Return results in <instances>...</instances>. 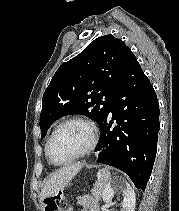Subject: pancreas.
I'll return each mask as SVG.
<instances>
[{
	"mask_svg": "<svg viewBox=\"0 0 179 211\" xmlns=\"http://www.w3.org/2000/svg\"><path fill=\"white\" fill-rule=\"evenodd\" d=\"M105 183H106V181L104 179H98L95 182V184L93 185L91 193L95 200H97V201L100 200L102 193H103Z\"/></svg>",
	"mask_w": 179,
	"mask_h": 211,
	"instance_id": "1",
	"label": "pancreas"
}]
</instances>
